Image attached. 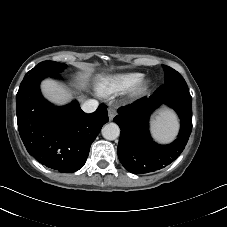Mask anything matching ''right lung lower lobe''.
Returning a JSON list of instances; mask_svg holds the SVG:
<instances>
[{
  "label": "right lung lower lobe",
  "instance_id": "right-lung-lower-lobe-1",
  "mask_svg": "<svg viewBox=\"0 0 227 227\" xmlns=\"http://www.w3.org/2000/svg\"><path fill=\"white\" fill-rule=\"evenodd\" d=\"M58 76L25 75L16 95L17 124L30 155L49 168L72 173L85 164L92 142L108 122L107 107L100 104L94 113L86 114L77 101L53 106L41 95L39 84L45 77Z\"/></svg>",
  "mask_w": 227,
  "mask_h": 227
}]
</instances>
